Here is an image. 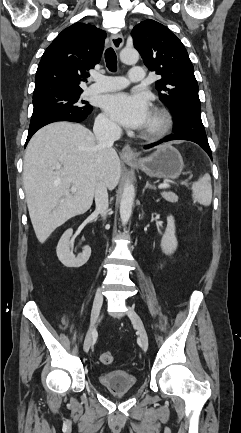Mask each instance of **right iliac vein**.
I'll return each mask as SVG.
<instances>
[{
  "label": "right iliac vein",
  "mask_w": 241,
  "mask_h": 433,
  "mask_svg": "<svg viewBox=\"0 0 241 433\" xmlns=\"http://www.w3.org/2000/svg\"><path fill=\"white\" fill-rule=\"evenodd\" d=\"M102 303H103V295H102V289L98 288L96 293H95V297H94V301H93V307H92V312H91V324L89 327V330L87 331L85 340H84V344H83V349L85 352H87L91 346V341H92V328L93 325L95 323V321L97 320L101 307H102Z\"/></svg>",
  "instance_id": "63e3f726"
}]
</instances>
